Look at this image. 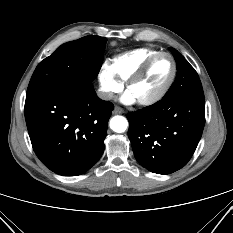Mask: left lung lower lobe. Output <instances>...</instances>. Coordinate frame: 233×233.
Returning <instances> with one entry per match:
<instances>
[{"instance_id": "0a47b994", "label": "left lung lower lobe", "mask_w": 233, "mask_h": 233, "mask_svg": "<svg viewBox=\"0 0 233 233\" xmlns=\"http://www.w3.org/2000/svg\"><path fill=\"white\" fill-rule=\"evenodd\" d=\"M128 137L139 164L157 174H170L192 157L205 124L201 97L162 99L127 115Z\"/></svg>"}]
</instances>
